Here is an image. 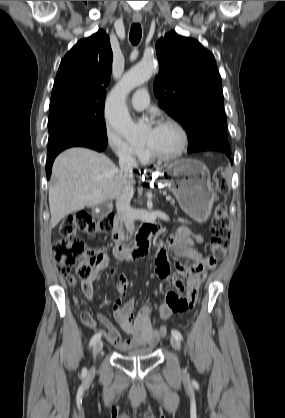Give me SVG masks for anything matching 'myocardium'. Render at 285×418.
<instances>
[{
	"mask_svg": "<svg viewBox=\"0 0 285 418\" xmlns=\"http://www.w3.org/2000/svg\"><path fill=\"white\" fill-rule=\"evenodd\" d=\"M161 125H167V126H172L174 127L180 134V145L177 149L176 152L169 154V155H163V154H159L157 152H155L150 146L147 147L148 149V156L150 158L156 159L158 161H172L175 160L179 157H181L188 146V133L186 131V129L184 128V126L178 122L177 120H174L172 118H166L161 122Z\"/></svg>",
	"mask_w": 285,
	"mask_h": 418,
	"instance_id": "obj_1",
	"label": "myocardium"
}]
</instances>
